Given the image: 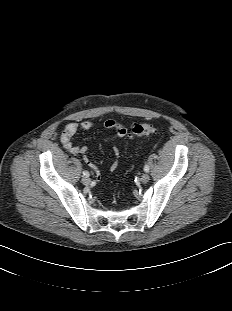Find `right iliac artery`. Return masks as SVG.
Segmentation results:
<instances>
[{"instance_id":"right-iliac-artery-1","label":"right iliac artery","mask_w":232,"mask_h":311,"mask_svg":"<svg viewBox=\"0 0 232 311\" xmlns=\"http://www.w3.org/2000/svg\"><path fill=\"white\" fill-rule=\"evenodd\" d=\"M83 175L88 177L89 176V172L88 171H83Z\"/></svg>"}]
</instances>
